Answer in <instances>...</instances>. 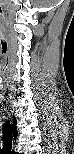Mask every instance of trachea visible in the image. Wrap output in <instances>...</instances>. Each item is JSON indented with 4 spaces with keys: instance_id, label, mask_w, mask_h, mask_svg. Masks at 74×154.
I'll return each mask as SVG.
<instances>
[{
    "instance_id": "1",
    "label": "trachea",
    "mask_w": 74,
    "mask_h": 154,
    "mask_svg": "<svg viewBox=\"0 0 74 154\" xmlns=\"http://www.w3.org/2000/svg\"><path fill=\"white\" fill-rule=\"evenodd\" d=\"M3 134L5 137V140H10L11 139V127H10V123L6 121V123H4L3 125Z\"/></svg>"
}]
</instances>
